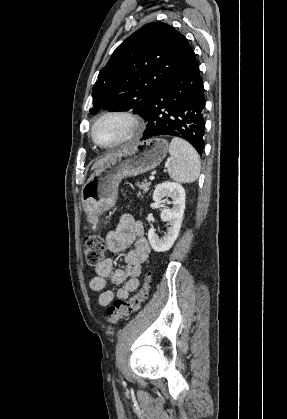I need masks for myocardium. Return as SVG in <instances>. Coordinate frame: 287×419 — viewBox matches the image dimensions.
<instances>
[{
  "label": "myocardium",
  "mask_w": 287,
  "mask_h": 419,
  "mask_svg": "<svg viewBox=\"0 0 287 419\" xmlns=\"http://www.w3.org/2000/svg\"><path fill=\"white\" fill-rule=\"evenodd\" d=\"M110 117H118L126 120L131 127V132L124 137L123 139L111 143V144H102L100 143L95 137V129L97 125L106 118ZM143 131V123L142 120L133 112L123 109H113L103 112L101 115L97 117V119L93 122L90 130V136L95 145L103 149H112L116 147L123 146L136 138H138Z\"/></svg>",
  "instance_id": "myocardium-1"
}]
</instances>
